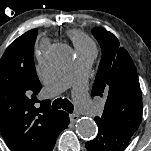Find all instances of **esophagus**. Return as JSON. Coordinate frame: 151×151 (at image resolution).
Returning <instances> with one entry per match:
<instances>
[{"mask_svg": "<svg viewBox=\"0 0 151 151\" xmlns=\"http://www.w3.org/2000/svg\"><path fill=\"white\" fill-rule=\"evenodd\" d=\"M79 116L77 114H71L70 115V121L76 122L78 120Z\"/></svg>", "mask_w": 151, "mask_h": 151, "instance_id": "34e87169", "label": "esophagus"}]
</instances>
